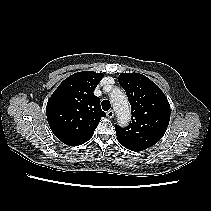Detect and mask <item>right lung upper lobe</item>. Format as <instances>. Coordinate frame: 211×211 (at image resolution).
<instances>
[{"label":"right lung upper lobe","instance_id":"right-lung-upper-lobe-1","mask_svg":"<svg viewBox=\"0 0 211 211\" xmlns=\"http://www.w3.org/2000/svg\"><path fill=\"white\" fill-rule=\"evenodd\" d=\"M103 73L83 71L66 78L49 98L46 114L55 136L64 144L78 146L88 141L101 117L100 99L94 95Z\"/></svg>","mask_w":211,"mask_h":211}]
</instances>
